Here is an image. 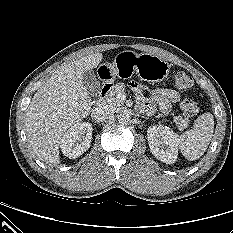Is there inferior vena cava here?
Here are the masks:
<instances>
[{"label": "inferior vena cava", "instance_id": "inferior-vena-cava-1", "mask_svg": "<svg viewBox=\"0 0 233 233\" xmlns=\"http://www.w3.org/2000/svg\"><path fill=\"white\" fill-rule=\"evenodd\" d=\"M113 112V109L108 103H100L92 108L91 116L96 122H102L110 118Z\"/></svg>", "mask_w": 233, "mask_h": 233}]
</instances>
